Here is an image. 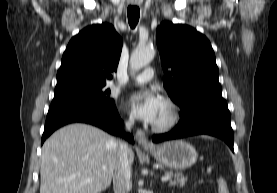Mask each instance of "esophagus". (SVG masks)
Listing matches in <instances>:
<instances>
[{
	"label": "esophagus",
	"instance_id": "obj_1",
	"mask_svg": "<svg viewBox=\"0 0 277 193\" xmlns=\"http://www.w3.org/2000/svg\"><path fill=\"white\" fill-rule=\"evenodd\" d=\"M136 140L141 146H143L145 148L153 147V144L149 142L148 137L146 136L145 132L141 129L136 131Z\"/></svg>",
	"mask_w": 277,
	"mask_h": 193
}]
</instances>
